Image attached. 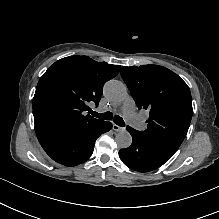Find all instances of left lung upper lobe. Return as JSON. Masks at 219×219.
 <instances>
[{
    "instance_id": "obj_1",
    "label": "left lung upper lobe",
    "mask_w": 219,
    "mask_h": 219,
    "mask_svg": "<svg viewBox=\"0 0 219 219\" xmlns=\"http://www.w3.org/2000/svg\"><path fill=\"white\" fill-rule=\"evenodd\" d=\"M121 76L139 109L149 110L147 128L138 131L147 141L174 154L187 135L192 98L187 84L159 65L124 66Z\"/></svg>"
}]
</instances>
